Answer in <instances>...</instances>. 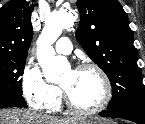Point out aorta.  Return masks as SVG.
<instances>
[{"label": "aorta", "instance_id": "obj_1", "mask_svg": "<svg viewBox=\"0 0 145 124\" xmlns=\"http://www.w3.org/2000/svg\"><path fill=\"white\" fill-rule=\"evenodd\" d=\"M72 16L67 13L54 12L45 18V26L37 39V59L43 75L48 82L60 81L64 71L70 68L63 56H56L52 44L59 38L63 29L72 23Z\"/></svg>", "mask_w": 145, "mask_h": 124}]
</instances>
